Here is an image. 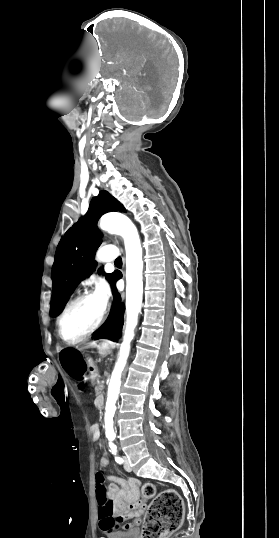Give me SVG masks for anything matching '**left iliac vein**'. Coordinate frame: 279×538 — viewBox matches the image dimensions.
<instances>
[{
	"label": "left iliac vein",
	"instance_id": "obj_1",
	"mask_svg": "<svg viewBox=\"0 0 279 538\" xmlns=\"http://www.w3.org/2000/svg\"><path fill=\"white\" fill-rule=\"evenodd\" d=\"M124 469L127 472L131 471L130 463H129V460H128V458L126 456H124Z\"/></svg>",
	"mask_w": 279,
	"mask_h": 538
}]
</instances>
